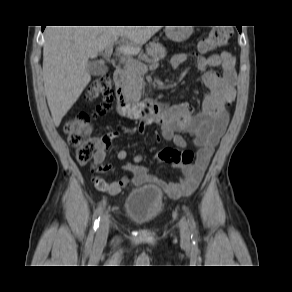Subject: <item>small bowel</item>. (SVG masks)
I'll return each instance as SVG.
<instances>
[{
    "label": "small bowel",
    "mask_w": 292,
    "mask_h": 292,
    "mask_svg": "<svg viewBox=\"0 0 292 292\" xmlns=\"http://www.w3.org/2000/svg\"><path fill=\"white\" fill-rule=\"evenodd\" d=\"M191 57L195 59L196 68L202 72V81L208 89L201 110L196 112L189 103L168 106L154 120L141 122L137 131L145 134L149 124H156L160 127L157 138L162 137L177 147L186 146L184 137L179 133H187L197 148L196 162L190 165H174L182 171V177L176 182H164L151 174L141 164L143 157L140 154L134 155L132 161L123 166V170L131 175L132 185L156 184L172 198L188 197L198 187L215 147L227 128L229 122L227 104L235 99L236 94V59L230 52L223 51L207 57L179 53L172 57L171 65L173 68H179ZM209 67H221L222 72L208 70ZM117 137L118 132L111 131L93 139L96 145L94 165L99 173L112 170V164H104V159L106 150ZM117 158L121 161L126 160L128 152L124 149L119 150ZM127 182L125 178L113 182L110 194H118Z\"/></svg>",
    "instance_id": "small-bowel-1"
}]
</instances>
